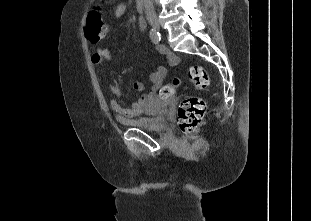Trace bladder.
Listing matches in <instances>:
<instances>
[{
	"instance_id": "31cf9c89",
	"label": "bladder",
	"mask_w": 311,
	"mask_h": 221,
	"mask_svg": "<svg viewBox=\"0 0 311 221\" xmlns=\"http://www.w3.org/2000/svg\"><path fill=\"white\" fill-rule=\"evenodd\" d=\"M170 108L171 106L168 101H160L154 106V108H146V114L134 118L130 123L145 132H161L170 124L168 112Z\"/></svg>"
}]
</instances>
